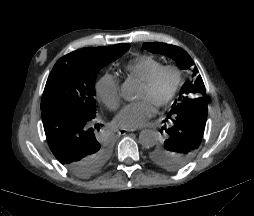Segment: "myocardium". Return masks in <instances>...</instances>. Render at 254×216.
<instances>
[{
  "instance_id": "myocardium-1",
  "label": "myocardium",
  "mask_w": 254,
  "mask_h": 216,
  "mask_svg": "<svg viewBox=\"0 0 254 216\" xmlns=\"http://www.w3.org/2000/svg\"><path fill=\"white\" fill-rule=\"evenodd\" d=\"M164 74H169L171 76L172 83L167 94L162 99L155 102V105L158 107L167 105L175 97L181 82L180 69L175 65L161 66L142 83L146 89H152Z\"/></svg>"
}]
</instances>
